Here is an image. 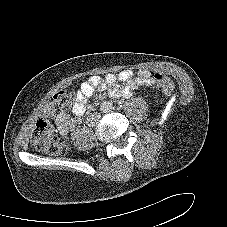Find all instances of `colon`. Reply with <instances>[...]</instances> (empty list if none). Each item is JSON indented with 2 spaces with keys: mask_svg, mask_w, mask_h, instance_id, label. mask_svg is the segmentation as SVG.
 Instances as JSON below:
<instances>
[{
  "mask_svg": "<svg viewBox=\"0 0 227 227\" xmlns=\"http://www.w3.org/2000/svg\"><path fill=\"white\" fill-rule=\"evenodd\" d=\"M155 82L157 89L165 95H170L175 90V83L169 76L158 74ZM72 98L71 92L59 91L43 103L42 115L36 120L32 136V145L36 150L50 155H60L67 151L66 143L56 134L48 118L56 110L68 108Z\"/></svg>",
  "mask_w": 227,
  "mask_h": 227,
  "instance_id": "obj_1",
  "label": "colon"
}]
</instances>
